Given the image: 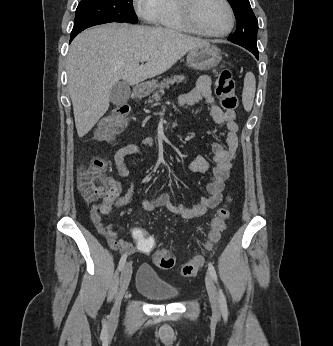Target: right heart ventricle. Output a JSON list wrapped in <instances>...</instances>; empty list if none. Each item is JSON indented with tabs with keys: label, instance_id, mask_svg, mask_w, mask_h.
Instances as JSON below:
<instances>
[{
	"label": "right heart ventricle",
	"instance_id": "right-heart-ventricle-1",
	"mask_svg": "<svg viewBox=\"0 0 333 346\" xmlns=\"http://www.w3.org/2000/svg\"><path fill=\"white\" fill-rule=\"evenodd\" d=\"M156 24L170 30L182 32L191 31L179 14L176 0H164L163 8Z\"/></svg>",
	"mask_w": 333,
	"mask_h": 346
}]
</instances>
